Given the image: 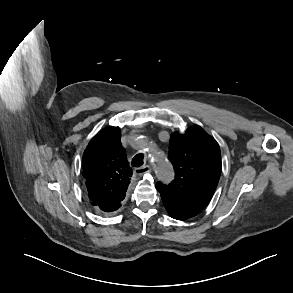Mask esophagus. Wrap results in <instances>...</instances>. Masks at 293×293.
I'll list each match as a JSON object with an SVG mask.
<instances>
[{
	"mask_svg": "<svg viewBox=\"0 0 293 293\" xmlns=\"http://www.w3.org/2000/svg\"><path fill=\"white\" fill-rule=\"evenodd\" d=\"M150 171H151L150 166L146 165V166H143V167L136 168L134 173L136 175H143V174L149 173Z\"/></svg>",
	"mask_w": 293,
	"mask_h": 293,
	"instance_id": "obj_1",
	"label": "esophagus"
}]
</instances>
